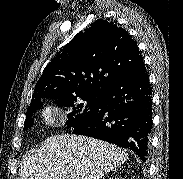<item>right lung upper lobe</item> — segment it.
<instances>
[{
	"label": "right lung upper lobe",
	"mask_w": 183,
	"mask_h": 179,
	"mask_svg": "<svg viewBox=\"0 0 183 179\" xmlns=\"http://www.w3.org/2000/svg\"><path fill=\"white\" fill-rule=\"evenodd\" d=\"M143 64L137 43L125 29L114 22L96 20L46 66L35 86L31 106L41 98L100 94Z\"/></svg>",
	"instance_id": "1"
}]
</instances>
